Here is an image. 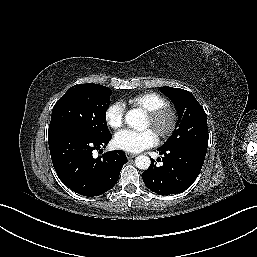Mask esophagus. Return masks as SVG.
Masks as SVG:
<instances>
[{
    "label": "esophagus",
    "mask_w": 257,
    "mask_h": 257,
    "mask_svg": "<svg viewBox=\"0 0 257 257\" xmlns=\"http://www.w3.org/2000/svg\"><path fill=\"white\" fill-rule=\"evenodd\" d=\"M135 156H136V155L133 154V153H129V152L126 153V157H127L128 159L134 158Z\"/></svg>",
    "instance_id": "obj_1"
}]
</instances>
